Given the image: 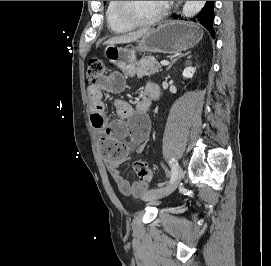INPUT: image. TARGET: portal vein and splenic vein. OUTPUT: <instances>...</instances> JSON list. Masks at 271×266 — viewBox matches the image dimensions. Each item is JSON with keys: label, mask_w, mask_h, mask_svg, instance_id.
<instances>
[{"label": "portal vein and splenic vein", "mask_w": 271, "mask_h": 266, "mask_svg": "<svg viewBox=\"0 0 271 266\" xmlns=\"http://www.w3.org/2000/svg\"><path fill=\"white\" fill-rule=\"evenodd\" d=\"M160 64L163 65V66H167L169 64V61L162 60V61H160Z\"/></svg>", "instance_id": "obj_1"}]
</instances>
